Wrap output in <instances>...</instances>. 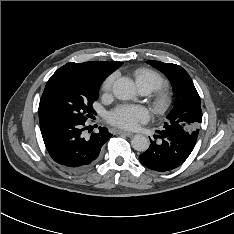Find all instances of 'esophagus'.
Returning a JSON list of instances; mask_svg holds the SVG:
<instances>
[{"label":"esophagus","mask_w":234,"mask_h":234,"mask_svg":"<svg viewBox=\"0 0 234 234\" xmlns=\"http://www.w3.org/2000/svg\"><path fill=\"white\" fill-rule=\"evenodd\" d=\"M117 133L120 134V135L127 136V137L133 136V133L127 132V131H122V130H118Z\"/></svg>","instance_id":"1"}]
</instances>
